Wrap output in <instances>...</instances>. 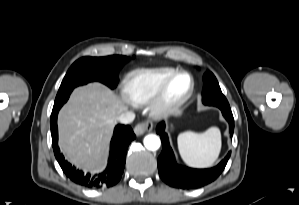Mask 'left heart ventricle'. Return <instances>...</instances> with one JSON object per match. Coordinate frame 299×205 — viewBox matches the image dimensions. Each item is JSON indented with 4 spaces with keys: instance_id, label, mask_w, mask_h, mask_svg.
<instances>
[{
    "instance_id": "obj_1",
    "label": "left heart ventricle",
    "mask_w": 299,
    "mask_h": 205,
    "mask_svg": "<svg viewBox=\"0 0 299 205\" xmlns=\"http://www.w3.org/2000/svg\"><path fill=\"white\" fill-rule=\"evenodd\" d=\"M188 85H189V81L186 77L179 78L172 86L171 94L173 96L181 95L187 90Z\"/></svg>"
}]
</instances>
